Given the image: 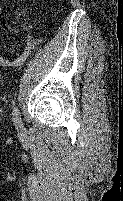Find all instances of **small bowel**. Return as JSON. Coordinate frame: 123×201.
<instances>
[{
    "label": "small bowel",
    "instance_id": "1",
    "mask_svg": "<svg viewBox=\"0 0 123 201\" xmlns=\"http://www.w3.org/2000/svg\"><path fill=\"white\" fill-rule=\"evenodd\" d=\"M2 9H3V7H2V5H0V14L2 12ZM4 29L8 33H11V34H14L16 32V29H14V28H12V27H10L8 25H5ZM33 43H34V41L31 38V36H28V45H27V47L14 60H8L7 58H5V57L0 55V67H18V66L22 65L26 61V59L28 58V56H29V54L31 52V48H32Z\"/></svg>",
    "mask_w": 123,
    "mask_h": 201
}]
</instances>
